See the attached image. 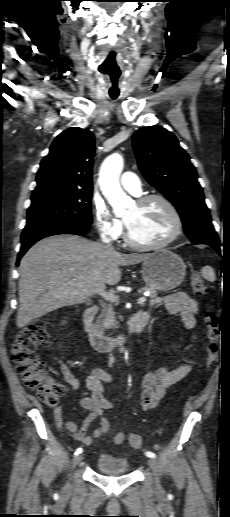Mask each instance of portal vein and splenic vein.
Instances as JSON below:
<instances>
[{
  "instance_id": "obj_1",
  "label": "portal vein and splenic vein",
  "mask_w": 230,
  "mask_h": 517,
  "mask_svg": "<svg viewBox=\"0 0 230 517\" xmlns=\"http://www.w3.org/2000/svg\"><path fill=\"white\" fill-rule=\"evenodd\" d=\"M75 280H72L70 284H73ZM103 298H105L108 301L115 302L117 300V297L111 293V292H100L99 293ZM146 301V297H140L138 299V304H143Z\"/></svg>"
}]
</instances>
